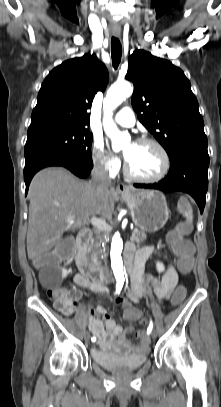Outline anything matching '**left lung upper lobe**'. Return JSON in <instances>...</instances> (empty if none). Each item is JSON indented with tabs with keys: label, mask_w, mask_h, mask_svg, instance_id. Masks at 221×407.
<instances>
[{
	"label": "left lung upper lobe",
	"mask_w": 221,
	"mask_h": 407,
	"mask_svg": "<svg viewBox=\"0 0 221 407\" xmlns=\"http://www.w3.org/2000/svg\"><path fill=\"white\" fill-rule=\"evenodd\" d=\"M134 84L132 107L169 157L190 141H207L198 102L184 72L170 61L136 50L125 76Z\"/></svg>",
	"instance_id": "1"
}]
</instances>
